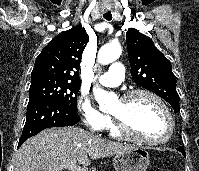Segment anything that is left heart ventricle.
Masks as SVG:
<instances>
[{
  "label": "left heart ventricle",
  "mask_w": 199,
  "mask_h": 171,
  "mask_svg": "<svg viewBox=\"0 0 199 171\" xmlns=\"http://www.w3.org/2000/svg\"><path fill=\"white\" fill-rule=\"evenodd\" d=\"M111 114L122 115L138 134L160 140L168 133V122L162 108L150 97L138 95L127 102L119 100Z\"/></svg>",
  "instance_id": "obj_1"
}]
</instances>
